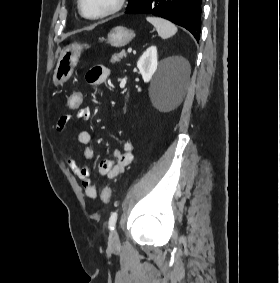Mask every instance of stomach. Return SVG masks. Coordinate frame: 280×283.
<instances>
[{"label":"stomach","instance_id":"0dacf381","mask_svg":"<svg viewBox=\"0 0 280 283\" xmlns=\"http://www.w3.org/2000/svg\"><path fill=\"white\" fill-rule=\"evenodd\" d=\"M133 30L122 26H116L108 33L107 43L113 47H123L133 38ZM83 47L79 44H70L60 50L57 65L53 75V84L55 86L63 85L72 76L76 67Z\"/></svg>","mask_w":280,"mask_h":283}]
</instances>
